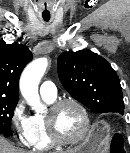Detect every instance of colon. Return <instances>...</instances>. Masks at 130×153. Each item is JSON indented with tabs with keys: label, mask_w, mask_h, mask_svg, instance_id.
Wrapping results in <instances>:
<instances>
[{
	"label": "colon",
	"mask_w": 130,
	"mask_h": 153,
	"mask_svg": "<svg viewBox=\"0 0 130 153\" xmlns=\"http://www.w3.org/2000/svg\"><path fill=\"white\" fill-rule=\"evenodd\" d=\"M111 149H112V153H123L124 152L123 142L118 135L114 136Z\"/></svg>",
	"instance_id": "5ec220e1"
}]
</instances>
